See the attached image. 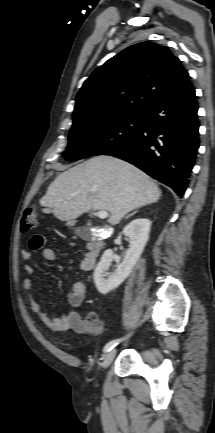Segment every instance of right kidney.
Returning <instances> with one entry per match:
<instances>
[{
	"label": "right kidney",
	"instance_id": "right-kidney-1",
	"mask_svg": "<svg viewBox=\"0 0 215 433\" xmlns=\"http://www.w3.org/2000/svg\"><path fill=\"white\" fill-rule=\"evenodd\" d=\"M150 227L151 221L149 219L138 218L123 229V234L130 240V248L114 274L107 272L114 257L113 251L108 249L104 252L93 275L97 290L101 294H107L117 288L130 275L149 239Z\"/></svg>",
	"mask_w": 215,
	"mask_h": 433
}]
</instances>
